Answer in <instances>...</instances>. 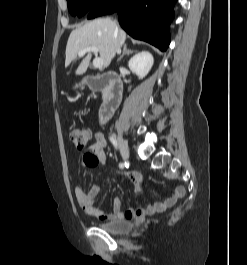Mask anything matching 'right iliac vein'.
Segmentation results:
<instances>
[{
	"instance_id": "1",
	"label": "right iliac vein",
	"mask_w": 247,
	"mask_h": 265,
	"mask_svg": "<svg viewBox=\"0 0 247 265\" xmlns=\"http://www.w3.org/2000/svg\"><path fill=\"white\" fill-rule=\"evenodd\" d=\"M118 142L121 156L124 160H127L130 155L128 144L121 136L118 137Z\"/></svg>"
}]
</instances>
